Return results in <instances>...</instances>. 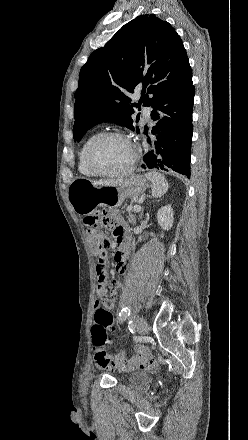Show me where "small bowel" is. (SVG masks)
<instances>
[{
  "label": "small bowel",
  "mask_w": 248,
  "mask_h": 440,
  "mask_svg": "<svg viewBox=\"0 0 248 440\" xmlns=\"http://www.w3.org/2000/svg\"><path fill=\"white\" fill-rule=\"evenodd\" d=\"M107 227L110 228L118 242V244L121 247H126L128 249L129 245V237L127 235V228L124 224V221L120 216L117 214H112L107 223ZM115 261L117 265V271L120 273H125V271L128 270V258L124 257L123 254L118 253L115 256ZM110 261H108L107 257H100L97 261V295L99 297V305L105 308L106 310H111L114 308L115 300L117 297L118 292L123 293L126 290L125 285L120 284L119 280L112 279L109 282L110 287L112 289L108 291V283L107 280L109 279V267H110ZM101 271V272H100ZM96 307V303H95ZM139 352L143 355L138 357H133L130 360L131 366H139L141 368L145 367L149 363V358L146 356V351L144 349H139ZM100 366V365H99ZM102 367V366H100Z\"/></svg>",
  "instance_id": "obj_1"
}]
</instances>
